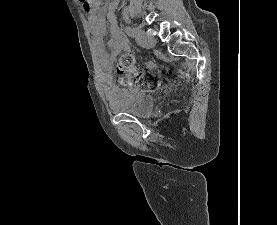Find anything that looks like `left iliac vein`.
Here are the masks:
<instances>
[{"instance_id": "1", "label": "left iliac vein", "mask_w": 277, "mask_h": 225, "mask_svg": "<svg viewBox=\"0 0 277 225\" xmlns=\"http://www.w3.org/2000/svg\"><path fill=\"white\" fill-rule=\"evenodd\" d=\"M134 37L136 42L144 48H152L155 46V40L147 35L144 30L136 28L134 29Z\"/></svg>"}]
</instances>
